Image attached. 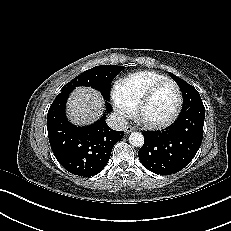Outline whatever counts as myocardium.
I'll return each instance as SVG.
<instances>
[{
  "label": "myocardium",
  "mask_w": 231,
  "mask_h": 231,
  "mask_svg": "<svg viewBox=\"0 0 231 231\" xmlns=\"http://www.w3.org/2000/svg\"><path fill=\"white\" fill-rule=\"evenodd\" d=\"M164 84H172L176 90L177 102H176V105H175L173 112L171 113V115L168 118H166L163 121H159V122L149 121V120L143 118L142 117V110L145 107L146 103L148 102L150 97L153 95V93L160 86H162ZM181 106H182V93H181L180 87L178 86V84L174 80H172L170 78H165V79L155 83L154 85H152L142 95V97L139 99V101L137 102V104L135 106L134 117H135L137 122H139L140 124H142L146 127L153 128V129H159V128H163V127L168 126L169 124H171L176 119V117L178 116L179 111L181 109Z\"/></svg>",
  "instance_id": "myocardium-1"
}]
</instances>
